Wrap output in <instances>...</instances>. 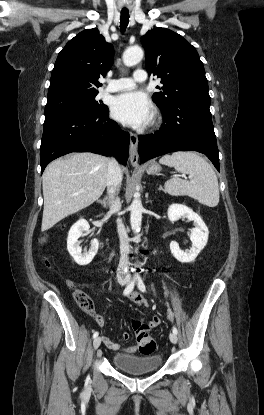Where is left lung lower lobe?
Returning a JSON list of instances; mask_svg holds the SVG:
<instances>
[{
    "label": "left lung lower lobe",
    "instance_id": "0a47b994",
    "mask_svg": "<svg viewBox=\"0 0 264 415\" xmlns=\"http://www.w3.org/2000/svg\"><path fill=\"white\" fill-rule=\"evenodd\" d=\"M210 99L186 98L162 111L164 124L154 134L138 136L141 162L174 151H198L219 170Z\"/></svg>",
    "mask_w": 264,
    "mask_h": 415
}]
</instances>
